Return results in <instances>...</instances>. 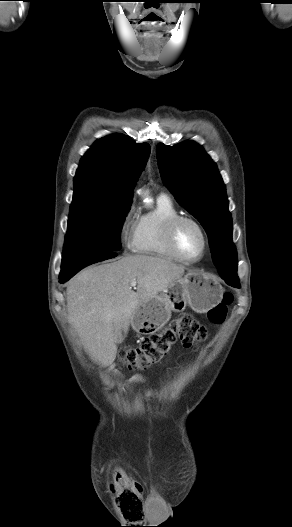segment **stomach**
<instances>
[{
    "mask_svg": "<svg viewBox=\"0 0 292 527\" xmlns=\"http://www.w3.org/2000/svg\"><path fill=\"white\" fill-rule=\"evenodd\" d=\"M223 292L213 277L190 271L157 296L141 302L132 315V328L139 334H153L169 321L172 311L182 312L189 306L206 313L222 301Z\"/></svg>",
    "mask_w": 292,
    "mask_h": 527,
    "instance_id": "0dacf381",
    "label": "stomach"
}]
</instances>
